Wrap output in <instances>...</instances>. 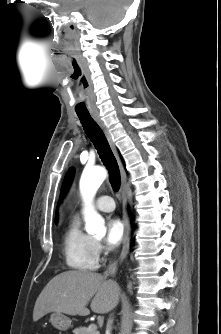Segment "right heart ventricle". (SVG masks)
<instances>
[{"mask_svg":"<svg viewBox=\"0 0 221 334\" xmlns=\"http://www.w3.org/2000/svg\"><path fill=\"white\" fill-rule=\"evenodd\" d=\"M96 241L84 233L80 222L74 217L63 235V252L66 264L77 271H94L99 266Z\"/></svg>","mask_w":221,"mask_h":334,"instance_id":"right-heart-ventricle-1","label":"right heart ventricle"}]
</instances>
